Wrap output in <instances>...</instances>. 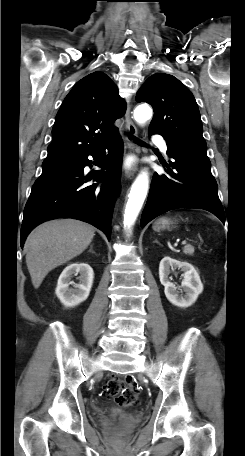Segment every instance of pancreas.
Segmentation results:
<instances>
[{
	"mask_svg": "<svg viewBox=\"0 0 245 456\" xmlns=\"http://www.w3.org/2000/svg\"><path fill=\"white\" fill-rule=\"evenodd\" d=\"M183 253H185L186 255L192 256L194 254V247L191 245H186L183 248Z\"/></svg>",
	"mask_w": 245,
	"mask_h": 456,
	"instance_id": "pancreas-1",
	"label": "pancreas"
}]
</instances>
